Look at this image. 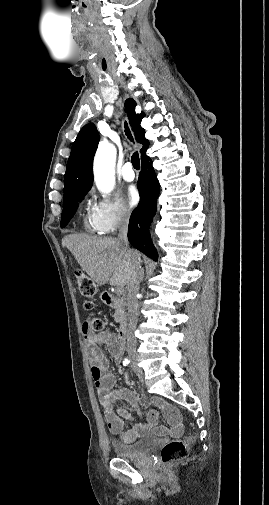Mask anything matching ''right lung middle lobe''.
Listing matches in <instances>:
<instances>
[{
	"label": "right lung middle lobe",
	"mask_w": 269,
	"mask_h": 505,
	"mask_svg": "<svg viewBox=\"0 0 269 505\" xmlns=\"http://www.w3.org/2000/svg\"><path fill=\"white\" fill-rule=\"evenodd\" d=\"M88 191L89 190L83 191L63 201V211L61 219L62 228L65 227L68 224L69 220L73 217L78 207V202L84 198V196Z\"/></svg>",
	"instance_id": "obj_1"
}]
</instances>
